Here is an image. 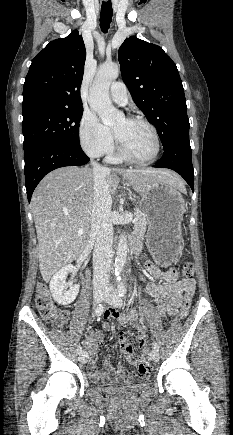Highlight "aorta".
<instances>
[{"instance_id": "obj_1", "label": "aorta", "mask_w": 233, "mask_h": 435, "mask_svg": "<svg viewBox=\"0 0 233 435\" xmlns=\"http://www.w3.org/2000/svg\"><path fill=\"white\" fill-rule=\"evenodd\" d=\"M120 72L118 63L102 65L94 78L89 93V105L105 125L112 126L124 119V114L116 110L109 98V87ZM128 252L127 238L124 233L119 237L117 256L115 260V275L118 277L123 270Z\"/></svg>"}]
</instances>
